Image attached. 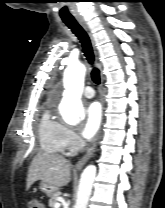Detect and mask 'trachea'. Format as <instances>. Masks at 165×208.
<instances>
[{
	"label": "trachea",
	"instance_id": "1",
	"mask_svg": "<svg viewBox=\"0 0 165 208\" xmlns=\"http://www.w3.org/2000/svg\"><path fill=\"white\" fill-rule=\"evenodd\" d=\"M63 22L71 29V31L78 37L80 40L84 55L86 56L88 62L93 65L94 54L91 46L90 39L84 29L77 23L74 19H64ZM92 80L96 83H100V72L97 68L93 67L91 72Z\"/></svg>",
	"mask_w": 165,
	"mask_h": 208
}]
</instances>
